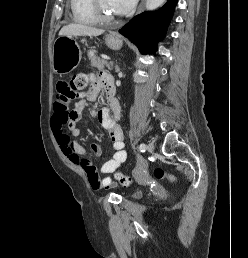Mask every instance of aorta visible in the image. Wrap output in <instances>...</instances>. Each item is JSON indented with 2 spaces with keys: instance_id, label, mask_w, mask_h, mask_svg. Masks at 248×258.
<instances>
[{
  "instance_id": "762f6f07",
  "label": "aorta",
  "mask_w": 248,
  "mask_h": 258,
  "mask_svg": "<svg viewBox=\"0 0 248 258\" xmlns=\"http://www.w3.org/2000/svg\"><path fill=\"white\" fill-rule=\"evenodd\" d=\"M164 2L165 0H146L145 6L147 10H154L161 6Z\"/></svg>"
}]
</instances>
